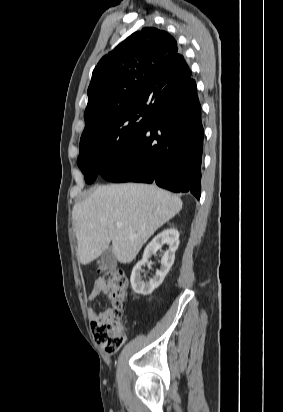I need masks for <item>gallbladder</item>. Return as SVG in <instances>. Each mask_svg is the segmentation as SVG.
Listing matches in <instances>:
<instances>
[{
    "instance_id": "bac80fb5",
    "label": "gallbladder",
    "mask_w": 283,
    "mask_h": 412,
    "mask_svg": "<svg viewBox=\"0 0 283 412\" xmlns=\"http://www.w3.org/2000/svg\"><path fill=\"white\" fill-rule=\"evenodd\" d=\"M101 265L104 269L114 270L116 266V257L112 247H108L101 256Z\"/></svg>"
}]
</instances>
